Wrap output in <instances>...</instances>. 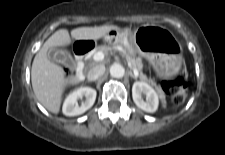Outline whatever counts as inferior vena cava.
Wrapping results in <instances>:
<instances>
[{
	"label": "inferior vena cava",
	"instance_id": "602c4592",
	"mask_svg": "<svg viewBox=\"0 0 225 155\" xmlns=\"http://www.w3.org/2000/svg\"><path fill=\"white\" fill-rule=\"evenodd\" d=\"M105 73L104 65H96L88 71V81H95Z\"/></svg>",
	"mask_w": 225,
	"mask_h": 155
}]
</instances>
